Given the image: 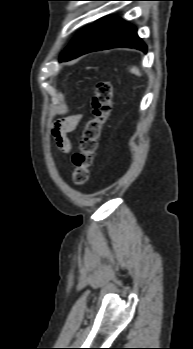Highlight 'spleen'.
Segmentation results:
<instances>
[{
    "instance_id": "3e777b00",
    "label": "spleen",
    "mask_w": 193,
    "mask_h": 349,
    "mask_svg": "<svg viewBox=\"0 0 193 349\" xmlns=\"http://www.w3.org/2000/svg\"><path fill=\"white\" fill-rule=\"evenodd\" d=\"M130 72L133 73V74H135V75H138V76L141 75L139 69L136 68V67H132V68L130 69Z\"/></svg>"
}]
</instances>
